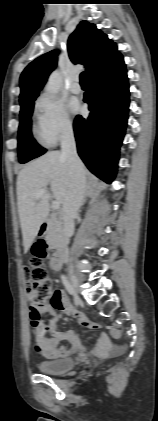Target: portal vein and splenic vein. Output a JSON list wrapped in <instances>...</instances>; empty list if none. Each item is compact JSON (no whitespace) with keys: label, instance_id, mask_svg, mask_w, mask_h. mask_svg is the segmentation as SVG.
<instances>
[{"label":"portal vein and splenic vein","instance_id":"portal-vein-and-splenic-vein-1","mask_svg":"<svg viewBox=\"0 0 158 421\" xmlns=\"http://www.w3.org/2000/svg\"><path fill=\"white\" fill-rule=\"evenodd\" d=\"M46 193V190H40L37 194H36V196H35V199L37 200V199H39L40 198V196H42L43 194H45ZM52 208L54 209V210H57V209H59L60 208V202L59 201H53L52 202Z\"/></svg>","mask_w":158,"mask_h":421}]
</instances>
